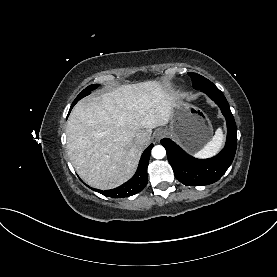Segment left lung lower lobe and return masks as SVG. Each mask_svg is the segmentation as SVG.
Wrapping results in <instances>:
<instances>
[{
    "mask_svg": "<svg viewBox=\"0 0 277 277\" xmlns=\"http://www.w3.org/2000/svg\"><path fill=\"white\" fill-rule=\"evenodd\" d=\"M220 107L227 121V140L223 150L209 159H196L185 153L168 138L161 140L175 177L188 186L208 185L218 181L231 165L237 147V128L229 104L223 93L216 87L201 90Z\"/></svg>",
    "mask_w": 277,
    "mask_h": 277,
    "instance_id": "obj_1",
    "label": "left lung lower lobe"
}]
</instances>
